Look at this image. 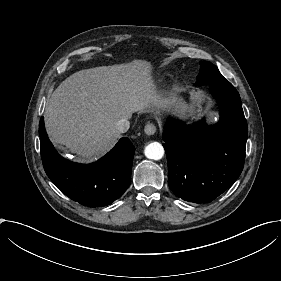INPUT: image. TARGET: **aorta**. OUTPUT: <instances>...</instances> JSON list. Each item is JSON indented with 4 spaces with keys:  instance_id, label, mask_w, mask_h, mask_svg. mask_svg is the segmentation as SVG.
<instances>
[{
    "instance_id": "obj_1",
    "label": "aorta",
    "mask_w": 281,
    "mask_h": 281,
    "mask_svg": "<svg viewBox=\"0 0 281 281\" xmlns=\"http://www.w3.org/2000/svg\"><path fill=\"white\" fill-rule=\"evenodd\" d=\"M145 156L148 159L160 160L164 155V148L158 142H152L145 147Z\"/></svg>"
}]
</instances>
